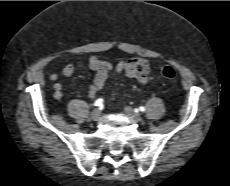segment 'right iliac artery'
Wrapping results in <instances>:
<instances>
[{
	"label": "right iliac artery",
	"instance_id": "right-iliac-artery-1",
	"mask_svg": "<svg viewBox=\"0 0 230 186\" xmlns=\"http://www.w3.org/2000/svg\"><path fill=\"white\" fill-rule=\"evenodd\" d=\"M103 99L102 98H99L95 101L94 105L95 106H102L103 105Z\"/></svg>",
	"mask_w": 230,
	"mask_h": 186
}]
</instances>
